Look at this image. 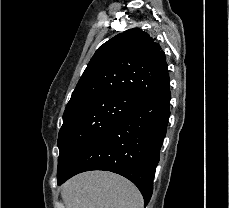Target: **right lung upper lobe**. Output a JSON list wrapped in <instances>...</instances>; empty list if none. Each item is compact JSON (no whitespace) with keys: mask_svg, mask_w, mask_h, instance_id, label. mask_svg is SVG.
Instances as JSON below:
<instances>
[{"mask_svg":"<svg viewBox=\"0 0 229 208\" xmlns=\"http://www.w3.org/2000/svg\"><path fill=\"white\" fill-rule=\"evenodd\" d=\"M145 31L133 28L100 46L71 95L65 112L104 95H124L141 103L169 86L164 52Z\"/></svg>","mask_w":229,"mask_h":208,"instance_id":"right-lung-upper-lobe-1","label":"right lung upper lobe"}]
</instances>
